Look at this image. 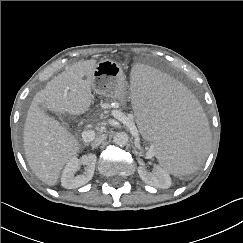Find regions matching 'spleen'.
<instances>
[{
	"mask_svg": "<svg viewBox=\"0 0 243 243\" xmlns=\"http://www.w3.org/2000/svg\"><path fill=\"white\" fill-rule=\"evenodd\" d=\"M136 123L171 174L196 169L205 157L208 124L191 92L179 81L145 63L126 71Z\"/></svg>",
	"mask_w": 243,
	"mask_h": 243,
	"instance_id": "1",
	"label": "spleen"
}]
</instances>
